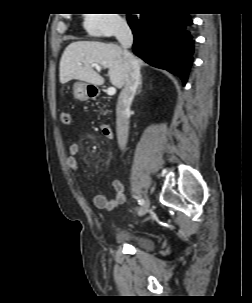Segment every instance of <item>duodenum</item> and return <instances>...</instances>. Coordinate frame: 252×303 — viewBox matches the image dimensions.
Segmentation results:
<instances>
[{"mask_svg": "<svg viewBox=\"0 0 252 303\" xmlns=\"http://www.w3.org/2000/svg\"><path fill=\"white\" fill-rule=\"evenodd\" d=\"M100 128L106 139L113 138V131H112V128L110 125L104 123V124H101Z\"/></svg>", "mask_w": 252, "mask_h": 303, "instance_id": "410a0bca", "label": "duodenum"}]
</instances>
